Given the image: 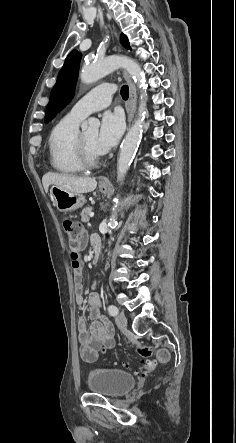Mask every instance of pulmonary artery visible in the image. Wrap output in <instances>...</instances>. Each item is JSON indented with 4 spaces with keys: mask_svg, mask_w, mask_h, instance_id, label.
I'll use <instances>...</instances> for the list:
<instances>
[{
    "mask_svg": "<svg viewBox=\"0 0 236 443\" xmlns=\"http://www.w3.org/2000/svg\"><path fill=\"white\" fill-rule=\"evenodd\" d=\"M115 91L114 84H102L95 87L73 105L70 114L83 119L91 112L107 107Z\"/></svg>",
    "mask_w": 236,
    "mask_h": 443,
    "instance_id": "e3ab8cb5",
    "label": "pulmonary artery"
}]
</instances>
